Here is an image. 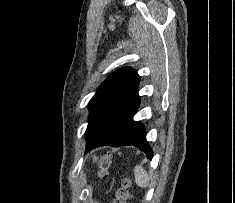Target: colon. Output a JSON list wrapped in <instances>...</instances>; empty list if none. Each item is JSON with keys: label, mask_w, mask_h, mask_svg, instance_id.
I'll return each instance as SVG.
<instances>
[{"label": "colon", "mask_w": 235, "mask_h": 203, "mask_svg": "<svg viewBox=\"0 0 235 203\" xmlns=\"http://www.w3.org/2000/svg\"><path fill=\"white\" fill-rule=\"evenodd\" d=\"M96 161L99 165L100 177L105 178L107 176V168L110 162L109 156L104 155L100 158H97ZM130 186H131L130 181L128 179H123L116 192V198L113 201V203H127V201H129L132 198L130 192Z\"/></svg>", "instance_id": "5ec220e1"}]
</instances>
